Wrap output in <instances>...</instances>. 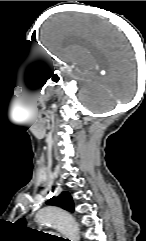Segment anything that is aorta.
Listing matches in <instances>:
<instances>
[{"mask_svg": "<svg viewBox=\"0 0 146 241\" xmlns=\"http://www.w3.org/2000/svg\"><path fill=\"white\" fill-rule=\"evenodd\" d=\"M37 222L41 225L55 226L65 237L71 241H79V227L74 218L65 210L47 206L38 211Z\"/></svg>", "mask_w": 146, "mask_h": 241, "instance_id": "aorta-1", "label": "aorta"}]
</instances>
